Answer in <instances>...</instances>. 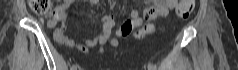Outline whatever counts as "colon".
I'll return each mask as SVG.
<instances>
[{
  "label": "colon",
  "mask_w": 238,
  "mask_h": 70,
  "mask_svg": "<svg viewBox=\"0 0 238 70\" xmlns=\"http://www.w3.org/2000/svg\"><path fill=\"white\" fill-rule=\"evenodd\" d=\"M195 5V0H180L177 2L176 13L179 17L186 18L192 12ZM29 7L37 15H49L52 13V4L50 0H30ZM54 20H57L56 13L54 14ZM154 30V26L152 24H148L141 30H139L136 34L138 38H143L149 34H151ZM158 32L162 31L161 27L157 28Z\"/></svg>",
  "instance_id": "1"
}]
</instances>
